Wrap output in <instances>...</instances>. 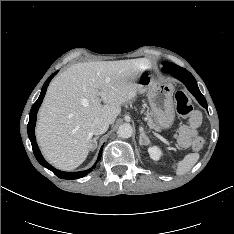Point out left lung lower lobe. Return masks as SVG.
Segmentation results:
<instances>
[{
	"label": "left lung lower lobe",
	"mask_w": 234,
	"mask_h": 234,
	"mask_svg": "<svg viewBox=\"0 0 234 234\" xmlns=\"http://www.w3.org/2000/svg\"><path fill=\"white\" fill-rule=\"evenodd\" d=\"M163 72L166 73H170L172 76H174L175 78L179 79L180 81H182L185 86L187 87V89L196 97V99L198 100V102L205 108H207V102L204 98V96L201 94L196 80L195 78L192 76V74L190 72H188L186 69L182 68V67H175V68H169L166 70H164L162 68Z\"/></svg>",
	"instance_id": "left-lung-lower-lobe-1"
}]
</instances>
